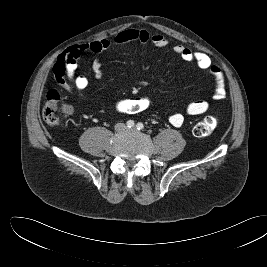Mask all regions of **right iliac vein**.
I'll list each match as a JSON object with an SVG mask.
<instances>
[{"instance_id": "63e3f726", "label": "right iliac vein", "mask_w": 267, "mask_h": 267, "mask_svg": "<svg viewBox=\"0 0 267 267\" xmlns=\"http://www.w3.org/2000/svg\"><path fill=\"white\" fill-rule=\"evenodd\" d=\"M126 129V126L123 124V123H118L115 125V130L116 131H122V130H125Z\"/></svg>"}]
</instances>
